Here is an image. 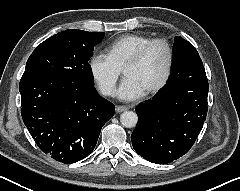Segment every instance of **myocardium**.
I'll return each instance as SVG.
<instances>
[{
	"instance_id": "1",
	"label": "myocardium",
	"mask_w": 240,
	"mask_h": 191,
	"mask_svg": "<svg viewBox=\"0 0 240 191\" xmlns=\"http://www.w3.org/2000/svg\"><path fill=\"white\" fill-rule=\"evenodd\" d=\"M158 43H161L166 47L167 54H168L167 66H166V70H165V73H164L162 79L155 86H153L152 88H150L148 91H146L144 93V95H146V96L154 95V94L158 93L159 91H161L166 86V84L168 83V81L170 79V76L172 73V68H173V63H174V51H173L171 43L165 38L151 39L150 41L145 43L143 46H141L139 48V50L126 62V64L122 68V71L124 74V72L127 68H130L132 66L139 64L143 60V58L145 57V55L147 54L149 49L153 45L158 44Z\"/></svg>"
}]
</instances>
